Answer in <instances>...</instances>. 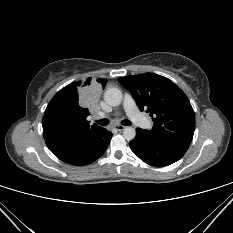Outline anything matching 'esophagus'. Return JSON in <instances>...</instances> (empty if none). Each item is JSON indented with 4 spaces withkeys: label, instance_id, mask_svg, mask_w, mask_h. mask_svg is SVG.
I'll list each match as a JSON object with an SVG mask.
<instances>
[{
    "label": "esophagus",
    "instance_id": "1",
    "mask_svg": "<svg viewBox=\"0 0 233 233\" xmlns=\"http://www.w3.org/2000/svg\"><path fill=\"white\" fill-rule=\"evenodd\" d=\"M114 129L117 130V131H122V130L125 129V126H123V125H115Z\"/></svg>",
    "mask_w": 233,
    "mask_h": 233
}]
</instances>
